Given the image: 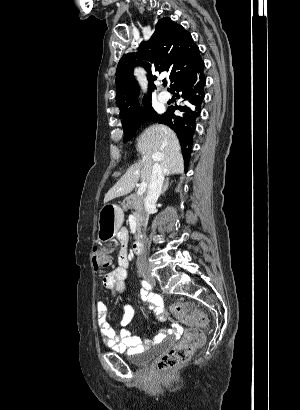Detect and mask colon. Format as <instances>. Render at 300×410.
I'll list each match as a JSON object with an SVG mask.
<instances>
[{
  "mask_svg": "<svg viewBox=\"0 0 300 410\" xmlns=\"http://www.w3.org/2000/svg\"><path fill=\"white\" fill-rule=\"evenodd\" d=\"M111 249H95L93 263L97 270H105L111 266ZM175 315L180 316L178 325L188 328L183 334L180 343L165 352L158 360L157 367L162 373L185 365L192 357L194 351L205 342L202 328L207 325L206 316L192 303L176 302L172 306Z\"/></svg>",
  "mask_w": 300,
  "mask_h": 410,
  "instance_id": "obj_1",
  "label": "colon"
}]
</instances>
